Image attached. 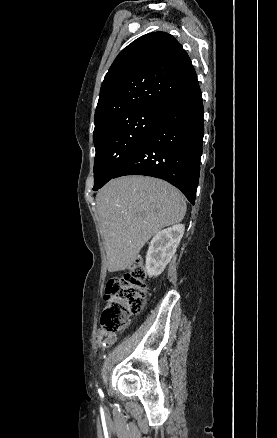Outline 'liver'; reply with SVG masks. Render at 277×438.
I'll return each instance as SVG.
<instances>
[{
  "label": "liver",
  "mask_w": 277,
  "mask_h": 438,
  "mask_svg": "<svg viewBox=\"0 0 277 438\" xmlns=\"http://www.w3.org/2000/svg\"><path fill=\"white\" fill-rule=\"evenodd\" d=\"M108 272L132 266L146 242L162 228L182 222L183 194L158 178L122 176L110 180L96 196Z\"/></svg>",
  "instance_id": "obj_1"
}]
</instances>
